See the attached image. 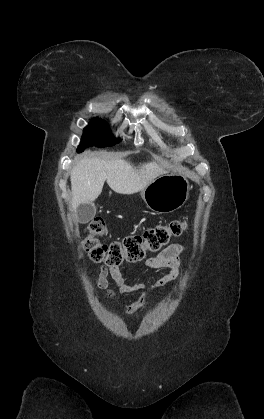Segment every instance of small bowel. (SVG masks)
Returning <instances> with one entry per match:
<instances>
[{
    "mask_svg": "<svg viewBox=\"0 0 264 419\" xmlns=\"http://www.w3.org/2000/svg\"><path fill=\"white\" fill-rule=\"evenodd\" d=\"M182 251L183 247L180 244H172L161 251L158 255L149 257L145 260V264L149 268L170 270L168 274L158 279L149 287H147L144 283L128 284L118 267H101L99 270L97 285L101 289H107L109 285L108 277H111L114 280L118 291L122 294L137 292L141 290H153L163 287L177 279L181 264ZM109 294L113 296L112 291H109ZM146 301L147 296L146 294H143L136 302L126 306L123 311L127 314L133 313L139 309H142L146 305Z\"/></svg>",
    "mask_w": 264,
    "mask_h": 419,
    "instance_id": "c3829d8e",
    "label": "small bowel"
}]
</instances>
